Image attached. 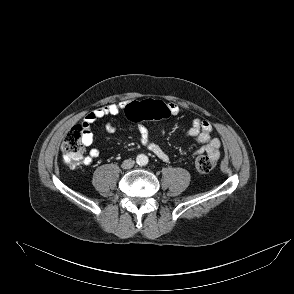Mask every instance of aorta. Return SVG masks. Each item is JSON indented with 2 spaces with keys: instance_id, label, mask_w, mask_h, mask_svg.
I'll list each match as a JSON object with an SVG mask.
<instances>
[{
  "instance_id": "1",
  "label": "aorta",
  "mask_w": 294,
  "mask_h": 294,
  "mask_svg": "<svg viewBox=\"0 0 294 294\" xmlns=\"http://www.w3.org/2000/svg\"><path fill=\"white\" fill-rule=\"evenodd\" d=\"M136 162L139 165H146L148 163V157L145 154H139L136 157Z\"/></svg>"
}]
</instances>
